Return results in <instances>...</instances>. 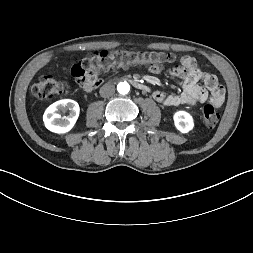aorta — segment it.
Returning a JSON list of instances; mask_svg holds the SVG:
<instances>
[{"label":"aorta","instance_id":"1","mask_svg":"<svg viewBox=\"0 0 253 253\" xmlns=\"http://www.w3.org/2000/svg\"><path fill=\"white\" fill-rule=\"evenodd\" d=\"M117 90L122 95L128 94L130 91V85L128 82H120L117 85Z\"/></svg>","mask_w":253,"mask_h":253}]
</instances>
